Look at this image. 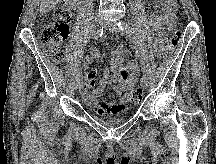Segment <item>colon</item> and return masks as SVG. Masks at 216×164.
Segmentation results:
<instances>
[{
    "label": "colon",
    "mask_w": 216,
    "mask_h": 164,
    "mask_svg": "<svg viewBox=\"0 0 216 164\" xmlns=\"http://www.w3.org/2000/svg\"><path fill=\"white\" fill-rule=\"evenodd\" d=\"M71 5L69 0H64L56 7L53 20L44 27L41 40L44 43L46 55L56 63H62L66 58V39L69 33V20L71 18ZM170 37L164 49L165 56H169L179 46L181 41V32L178 24L174 20L170 25ZM143 90L135 88L127 94L130 102L138 103L142 100Z\"/></svg>",
    "instance_id": "1"
}]
</instances>
